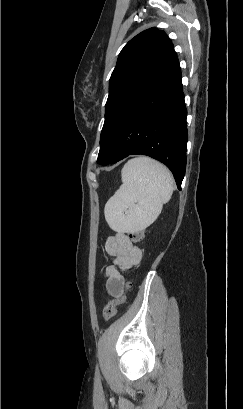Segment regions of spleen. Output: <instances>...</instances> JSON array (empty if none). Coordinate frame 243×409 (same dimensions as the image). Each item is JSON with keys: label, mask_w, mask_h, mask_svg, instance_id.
<instances>
[{"label": "spleen", "mask_w": 243, "mask_h": 409, "mask_svg": "<svg viewBox=\"0 0 243 409\" xmlns=\"http://www.w3.org/2000/svg\"><path fill=\"white\" fill-rule=\"evenodd\" d=\"M122 185L104 209L109 226L118 232H137L150 226L173 193V177L154 159L129 160L121 171Z\"/></svg>", "instance_id": "3e777b00"}]
</instances>
